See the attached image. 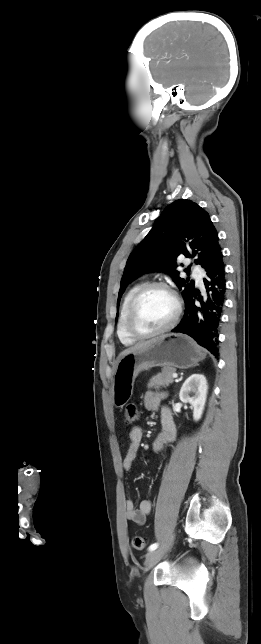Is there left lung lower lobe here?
<instances>
[{"label":"left lung lower lobe","mask_w":261,"mask_h":644,"mask_svg":"<svg viewBox=\"0 0 261 644\" xmlns=\"http://www.w3.org/2000/svg\"><path fill=\"white\" fill-rule=\"evenodd\" d=\"M203 278L207 293L200 295L194 291L185 303V313L180 324L172 330L187 334L199 345L218 355V329L225 302L226 280L222 252L217 254L206 266ZM195 297L199 303H195Z\"/></svg>","instance_id":"obj_1"}]
</instances>
